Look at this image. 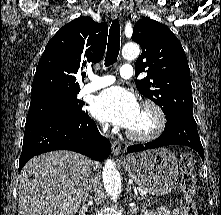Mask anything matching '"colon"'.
Here are the masks:
<instances>
[{
  "label": "colon",
  "instance_id": "1",
  "mask_svg": "<svg viewBox=\"0 0 221 215\" xmlns=\"http://www.w3.org/2000/svg\"><path fill=\"white\" fill-rule=\"evenodd\" d=\"M181 168V191L183 197L181 199V208L184 215H198L194 203V192L196 180L192 168V157L190 154H184L180 162Z\"/></svg>",
  "mask_w": 221,
  "mask_h": 215
}]
</instances>
